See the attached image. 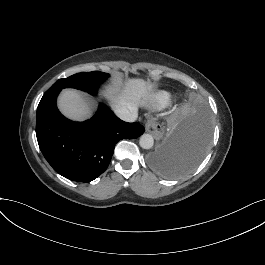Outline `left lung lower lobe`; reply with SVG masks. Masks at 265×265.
Masks as SVG:
<instances>
[{
	"label": "left lung lower lobe",
	"mask_w": 265,
	"mask_h": 265,
	"mask_svg": "<svg viewBox=\"0 0 265 265\" xmlns=\"http://www.w3.org/2000/svg\"><path fill=\"white\" fill-rule=\"evenodd\" d=\"M211 135L209 115L203 107L174 129L148 157L150 165L175 178L193 170L204 157Z\"/></svg>",
	"instance_id": "obj_1"
}]
</instances>
